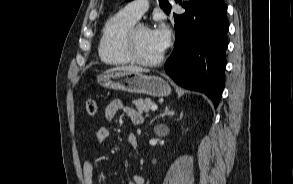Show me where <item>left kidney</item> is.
Segmentation results:
<instances>
[{
    "label": "left kidney",
    "mask_w": 293,
    "mask_h": 184,
    "mask_svg": "<svg viewBox=\"0 0 293 184\" xmlns=\"http://www.w3.org/2000/svg\"><path fill=\"white\" fill-rule=\"evenodd\" d=\"M168 133V129H164V134H167Z\"/></svg>",
    "instance_id": "left-kidney-1"
}]
</instances>
